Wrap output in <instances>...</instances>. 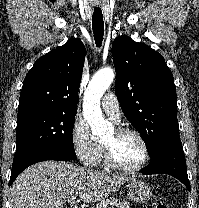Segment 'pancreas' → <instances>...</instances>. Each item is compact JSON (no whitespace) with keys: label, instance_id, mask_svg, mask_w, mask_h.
Here are the masks:
<instances>
[{"label":"pancreas","instance_id":"pancreas-1","mask_svg":"<svg viewBox=\"0 0 199 208\" xmlns=\"http://www.w3.org/2000/svg\"><path fill=\"white\" fill-rule=\"evenodd\" d=\"M107 205H110V208H115V206L117 208H130V203L128 201H118L117 199H107L106 201H104L101 204H98L96 206V208H106Z\"/></svg>","mask_w":199,"mask_h":208}]
</instances>
